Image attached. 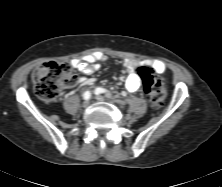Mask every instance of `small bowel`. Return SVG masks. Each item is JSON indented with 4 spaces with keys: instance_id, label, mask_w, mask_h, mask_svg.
<instances>
[{
    "instance_id": "small-bowel-1",
    "label": "small bowel",
    "mask_w": 222,
    "mask_h": 187,
    "mask_svg": "<svg viewBox=\"0 0 222 187\" xmlns=\"http://www.w3.org/2000/svg\"><path fill=\"white\" fill-rule=\"evenodd\" d=\"M106 59V55L102 53H94L86 56L84 59H75L72 61V66L77 69L79 72L84 75H90L95 70L98 69L99 65L97 62L103 61ZM125 69L128 72V77L125 80L126 89L129 92H135L139 89L141 80L138 75V68L140 66L148 67L152 71L158 74H162L166 67L165 64L161 61H148V60H133L127 59L124 62ZM78 83L80 85H85L87 83V79L85 77H79Z\"/></svg>"
}]
</instances>
